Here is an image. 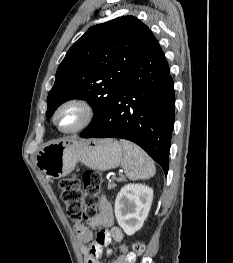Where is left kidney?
Instances as JSON below:
<instances>
[{
  "label": "left kidney",
  "mask_w": 233,
  "mask_h": 263,
  "mask_svg": "<svg viewBox=\"0 0 233 263\" xmlns=\"http://www.w3.org/2000/svg\"><path fill=\"white\" fill-rule=\"evenodd\" d=\"M152 200V188L143 184H127L120 190L115 200V216L127 235H133L141 229Z\"/></svg>",
  "instance_id": "5707ae66"
}]
</instances>
